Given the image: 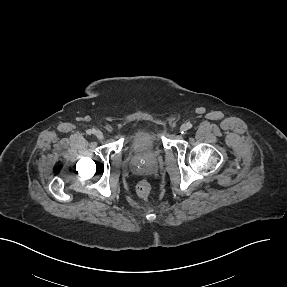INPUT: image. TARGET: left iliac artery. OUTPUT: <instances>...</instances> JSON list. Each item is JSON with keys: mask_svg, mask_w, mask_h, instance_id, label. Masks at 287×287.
Returning <instances> with one entry per match:
<instances>
[{"mask_svg": "<svg viewBox=\"0 0 287 287\" xmlns=\"http://www.w3.org/2000/svg\"><path fill=\"white\" fill-rule=\"evenodd\" d=\"M186 125H187V128H188V129H191V128H192V124H191L190 122H188Z\"/></svg>", "mask_w": 287, "mask_h": 287, "instance_id": "44dca946", "label": "left iliac artery"}]
</instances>
